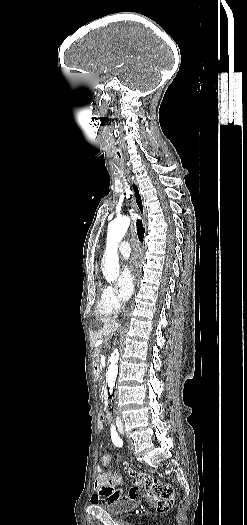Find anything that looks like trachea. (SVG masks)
I'll return each instance as SVG.
<instances>
[{"label":"trachea","mask_w":247,"mask_h":525,"mask_svg":"<svg viewBox=\"0 0 247 525\" xmlns=\"http://www.w3.org/2000/svg\"><path fill=\"white\" fill-rule=\"evenodd\" d=\"M136 229H137V236L141 243L144 241V235H145V229L142 223V220L137 219L136 220Z\"/></svg>","instance_id":"3493384b"}]
</instances>
